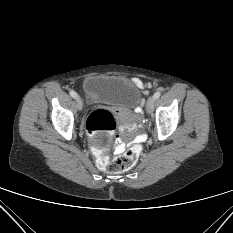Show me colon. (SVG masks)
I'll return each instance as SVG.
<instances>
[{
  "label": "colon",
  "mask_w": 233,
  "mask_h": 233,
  "mask_svg": "<svg viewBox=\"0 0 233 233\" xmlns=\"http://www.w3.org/2000/svg\"><path fill=\"white\" fill-rule=\"evenodd\" d=\"M115 129L116 120L113 114L105 109L94 110L86 122V130L91 139L100 133L110 138ZM91 145L97 165L101 169L113 174L122 173L132 168L136 164L141 152V147L135 145L122 155L110 160L102 149L95 147L93 142H91Z\"/></svg>",
  "instance_id": "obj_1"
}]
</instances>
